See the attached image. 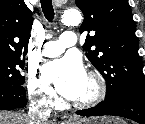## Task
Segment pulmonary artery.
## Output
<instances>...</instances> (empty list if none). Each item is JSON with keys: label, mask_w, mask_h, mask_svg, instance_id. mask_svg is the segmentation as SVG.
I'll use <instances>...</instances> for the list:
<instances>
[{"label": "pulmonary artery", "mask_w": 145, "mask_h": 124, "mask_svg": "<svg viewBox=\"0 0 145 124\" xmlns=\"http://www.w3.org/2000/svg\"><path fill=\"white\" fill-rule=\"evenodd\" d=\"M76 44V36L72 31H65L57 41H49L44 44L43 55L55 57L61 55L67 48Z\"/></svg>", "instance_id": "obj_1"}]
</instances>
